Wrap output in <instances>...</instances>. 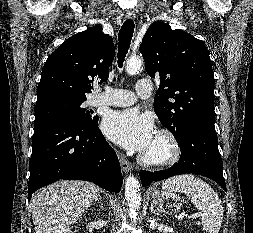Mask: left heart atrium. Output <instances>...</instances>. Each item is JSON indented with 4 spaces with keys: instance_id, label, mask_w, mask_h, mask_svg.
I'll use <instances>...</instances> for the list:
<instances>
[{
    "instance_id": "1",
    "label": "left heart atrium",
    "mask_w": 253,
    "mask_h": 233,
    "mask_svg": "<svg viewBox=\"0 0 253 233\" xmlns=\"http://www.w3.org/2000/svg\"><path fill=\"white\" fill-rule=\"evenodd\" d=\"M101 128L110 140L130 151L147 150L155 137L152 119L133 109L109 113Z\"/></svg>"
}]
</instances>
